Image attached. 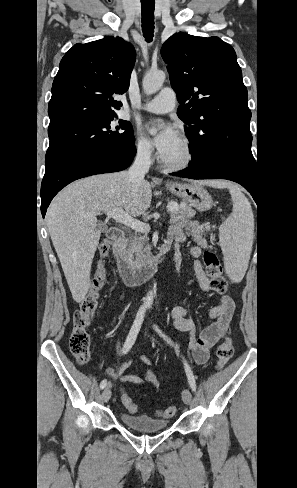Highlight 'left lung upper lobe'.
<instances>
[{"label":"left lung upper lobe","instance_id":"left-lung-upper-lobe-1","mask_svg":"<svg viewBox=\"0 0 297 488\" xmlns=\"http://www.w3.org/2000/svg\"><path fill=\"white\" fill-rule=\"evenodd\" d=\"M161 56L181 104L177 114L191 142L190 163L217 155L255 163L248 93L232 46L180 32L163 44Z\"/></svg>","mask_w":297,"mask_h":488}]
</instances>
